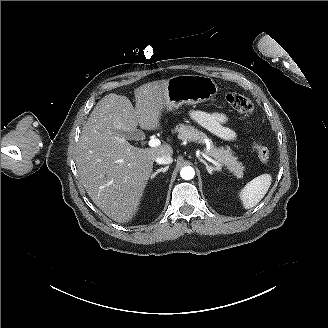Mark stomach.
<instances>
[{"instance_id": "1", "label": "stomach", "mask_w": 328, "mask_h": 328, "mask_svg": "<svg viewBox=\"0 0 328 328\" xmlns=\"http://www.w3.org/2000/svg\"><path fill=\"white\" fill-rule=\"evenodd\" d=\"M162 111H173L183 104H198L214 98L218 86L209 76L178 75L169 78Z\"/></svg>"}]
</instances>
